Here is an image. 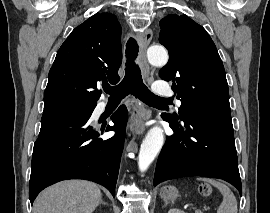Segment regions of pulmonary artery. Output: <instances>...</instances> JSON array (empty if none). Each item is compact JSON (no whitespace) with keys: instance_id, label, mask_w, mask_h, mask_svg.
Masks as SVG:
<instances>
[{"instance_id":"obj_1","label":"pulmonary artery","mask_w":270,"mask_h":213,"mask_svg":"<svg viewBox=\"0 0 270 213\" xmlns=\"http://www.w3.org/2000/svg\"><path fill=\"white\" fill-rule=\"evenodd\" d=\"M154 94L157 96H169L172 95V89L168 82L157 81L153 87ZM177 104H181L179 99L176 100Z\"/></svg>"}]
</instances>
